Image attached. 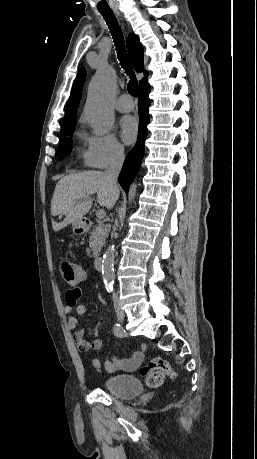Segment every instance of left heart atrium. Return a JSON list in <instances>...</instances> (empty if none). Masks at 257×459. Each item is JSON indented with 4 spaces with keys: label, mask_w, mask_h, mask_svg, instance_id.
<instances>
[{
    "label": "left heart atrium",
    "mask_w": 257,
    "mask_h": 459,
    "mask_svg": "<svg viewBox=\"0 0 257 459\" xmlns=\"http://www.w3.org/2000/svg\"><path fill=\"white\" fill-rule=\"evenodd\" d=\"M121 137L127 144L135 141L138 134V122L131 116H125L120 121Z\"/></svg>",
    "instance_id": "obj_1"
}]
</instances>
